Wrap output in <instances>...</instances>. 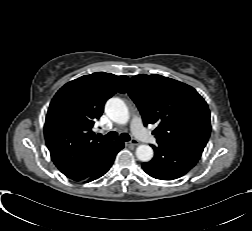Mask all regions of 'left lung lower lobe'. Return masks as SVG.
Returning <instances> with one entry per match:
<instances>
[{"mask_svg": "<svg viewBox=\"0 0 252 231\" xmlns=\"http://www.w3.org/2000/svg\"><path fill=\"white\" fill-rule=\"evenodd\" d=\"M151 145L154 158L142 164L144 171L161 180H173L185 175L200 159L204 147L186 142L158 141Z\"/></svg>", "mask_w": 252, "mask_h": 231, "instance_id": "0a47b994", "label": "left lung lower lobe"}]
</instances>
